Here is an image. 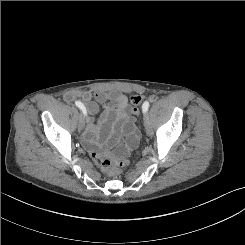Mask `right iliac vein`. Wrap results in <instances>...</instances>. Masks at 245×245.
<instances>
[{
	"label": "right iliac vein",
	"mask_w": 245,
	"mask_h": 245,
	"mask_svg": "<svg viewBox=\"0 0 245 245\" xmlns=\"http://www.w3.org/2000/svg\"><path fill=\"white\" fill-rule=\"evenodd\" d=\"M84 126H85V117L82 114H80L79 121H78V129L81 131L83 130Z\"/></svg>",
	"instance_id": "1"
}]
</instances>
